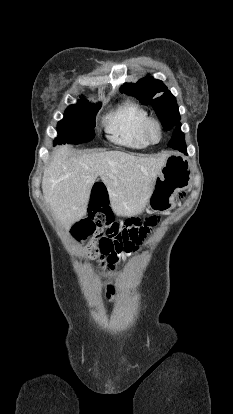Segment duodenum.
I'll use <instances>...</instances> for the list:
<instances>
[{"instance_id":"410a0bca","label":"duodenum","mask_w":233,"mask_h":414,"mask_svg":"<svg viewBox=\"0 0 233 414\" xmlns=\"http://www.w3.org/2000/svg\"><path fill=\"white\" fill-rule=\"evenodd\" d=\"M103 179H96L94 189L92 191L91 203L87 205L90 212L107 211L109 202L107 201L108 188L104 184Z\"/></svg>"}]
</instances>
